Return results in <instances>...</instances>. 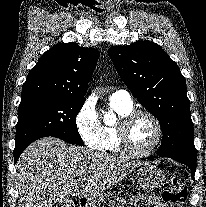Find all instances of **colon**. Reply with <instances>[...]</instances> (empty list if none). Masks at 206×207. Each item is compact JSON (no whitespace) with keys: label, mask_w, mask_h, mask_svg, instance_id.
<instances>
[{"label":"colon","mask_w":206,"mask_h":207,"mask_svg":"<svg viewBox=\"0 0 206 207\" xmlns=\"http://www.w3.org/2000/svg\"><path fill=\"white\" fill-rule=\"evenodd\" d=\"M187 197L183 181L178 176L169 178L162 192V199L168 207H184ZM61 207H76L75 203L64 204Z\"/></svg>","instance_id":"obj_1"}]
</instances>
